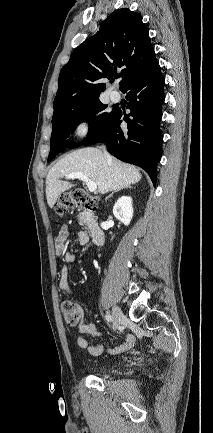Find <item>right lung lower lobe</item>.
Masks as SVG:
<instances>
[{"instance_id": "98d812e1", "label": "right lung lower lobe", "mask_w": 213, "mask_h": 433, "mask_svg": "<svg viewBox=\"0 0 213 433\" xmlns=\"http://www.w3.org/2000/svg\"><path fill=\"white\" fill-rule=\"evenodd\" d=\"M164 79L154 58L121 89L127 93L128 115L114 110L107 126L86 146L106 143L107 150L118 159L143 168L156 183L157 163L161 159L162 134L159 128L164 102ZM124 120L127 128H121Z\"/></svg>"}]
</instances>
